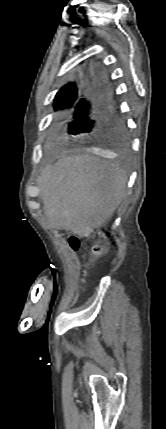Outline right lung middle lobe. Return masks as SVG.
<instances>
[{
  "instance_id": "obj_1",
  "label": "right lung middle lobe",
  "mask_w": 166,
  "mask_h": 429,
  "mask_svg": "<svg viewBox=\"0 0 166 429\" xmlns=\"http://www.w3.org/2000/svg\"><path fill=\"white\" fill-rule=\"evenodd\" d=\"M79 83H69L62 87L54 99V109H71L78 97ZM109 144L124 149L128 145V134L125 128L114 130L106 140Z\"/></svg>"
}]
</instances>
